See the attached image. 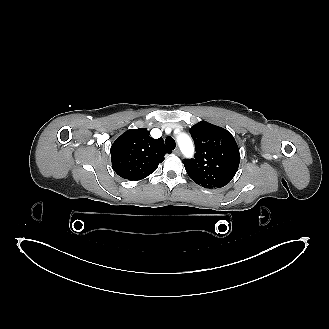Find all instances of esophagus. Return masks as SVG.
Returning a JSON list of instances; mask_svg holds the SVG:
<instances>
[{
    "label": "esophagus",
    "instance_id": "1",
    "mask_svg": "<svg viewBox=\"0 0 329 329\" xmlns=\"http://www.w3.org/2000/svg\"><path fill=\"white\" fill-rule=\"evenodd\" d=\"M174 154H176V155H180V150H179V148H176V149H174Z\"/></svg>",
    "mask_w": 329,
    "mask_h": 329
}]
</instances>
